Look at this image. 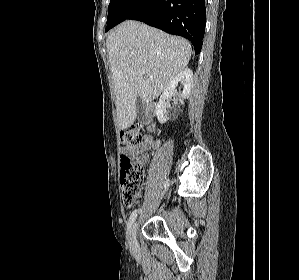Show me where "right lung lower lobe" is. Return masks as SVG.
<instances>
[{
	"label": "right lung lower lobe",
	"mask_w": 299,
	"mask_h": 280,
	"mask_svg": "<svg viewBox=\"0 0 299 280\" xmlns=\"http://www.w3.org/2000/svg\"><path fill=\"white\" fill-rule=\"evenodd\" d=\"M205 0H131L118 16L115 26L124 20L142 21L167 33L190 40L196 54L205 32Z\"/></svg>",
	"instance_id": "right-lung-lower-lobe-1"
}]
</instances>
